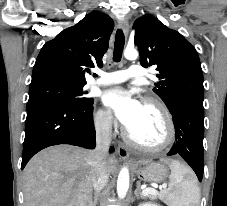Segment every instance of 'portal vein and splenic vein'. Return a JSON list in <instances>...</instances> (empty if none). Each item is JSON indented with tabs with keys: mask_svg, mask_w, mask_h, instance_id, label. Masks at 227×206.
I'll use <instances>...</instances> for the list:
<instances>
[{
	"mask_svg": "<svg viewBox=\"0 0 227 206\" xmlns=\"http://www.w3.org/2000/svg\"><path fill=\"white\" fill-rule=\"evenodd\" d=\"M162 187L164 189L167 188V184H163ZM142 194H143V196H147L149 194L157 195L158 191L156 189H154V188H146V189H143Z\"/></svg>",
	"mask_w": 227,
	"mask_h": 206,
	"instance_id": "portal-vein-and-splenic-vein-1",
	"label": "portal vein and splenic vein"
}]
</instances>
